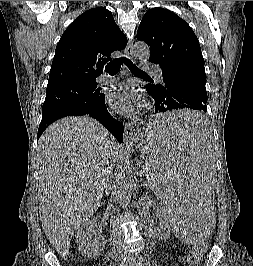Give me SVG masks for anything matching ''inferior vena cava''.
<instances>
[{"label":"inferior vena cava","mask_w":253,"mask_h":266,"mask_svg":"<svg viewBox=\"0 0 253 266\" xmlns=\"http://www.w3.org/2000/svg\"><path fill=\"white\" fill-rule=\"evenodd\" d=\"M109 175H111V171L107 173L104 183V190L107 195L109 194V190L111 189ZM112 236H113V252L117 259L124 260L126 258V253L124 252L121 246V232L116 227H113L112 229Z\"/></svg>","instance_id":"1"}]
</instances>
